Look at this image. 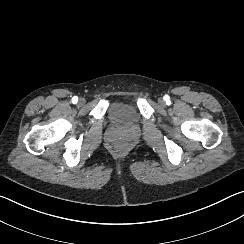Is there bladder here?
<instances>
[{
    "instance_id": "31cf9c89",
    "label": "bladder",
    "mask_w": 244,
    "mask_h": 244,
    "mask_svg": "<svg viewBox=\"0 0 244 244\" xmlns=\"http://www.w3.org/2000/svg\"><path fill=\"white\" fill-rule=\"evenodd\" d=\"M109 119L113 126L126 128L137 123L140 119L139 108L130 102L111 103L109 108Z\"/></svg>"
}]
</instances>
